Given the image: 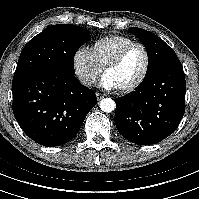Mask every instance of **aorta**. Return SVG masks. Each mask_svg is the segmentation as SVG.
Instances as JSON below:
<instances>
[{"label": "aorta", "instance_id": "obj_1", "mask_svg": "<svg viewBox=\"0 0 199 199\" xmlns=\"http://www.w3.org/2000/svg\"><path fill=\"white\" fill-rule=\"evenodd\" d=\"M115 102L111 98H104L100 101V108L103 112L110 113L115 109Z\"/></svg>", "mask_w": 199, "mask_h": 199}]
</instances>
